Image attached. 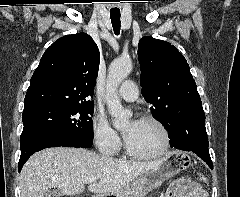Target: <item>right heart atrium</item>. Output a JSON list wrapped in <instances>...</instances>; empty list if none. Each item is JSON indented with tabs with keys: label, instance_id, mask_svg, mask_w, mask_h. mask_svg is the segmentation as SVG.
<instances>
[{
	"label": "right heart atrium",
	"instance_id": "obj_1",
	"mask_svg": "<svg viewBox=\"0 0 240 197\" xmlns=\"http://www.w3.org/2000/svg\"><path fill=\"white\" fill-rule=\"evenodd\" d=\"M93 142L97 150L103 154L115 155L121 148L122 142L108 120L101 115L95 117L92 125Z\"/></svg>",
	"mask_w": 240,
	"mask_h": 197
}]
</instances>
